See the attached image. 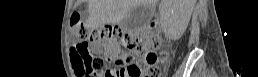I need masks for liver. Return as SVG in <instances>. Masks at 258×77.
<instances>
[{"mask_svg":"<svg viewBox=\"0 0 258 77\" xmlns=\"http://www.w3.org/2000/svg\"><path fill=\"white\" fill-rule=\"evenodd\" d=\"M158 0H89L88 24L97 28L103 24H117L126 18L132 8L138 6H154ZM196 0H162L161 6H171L178 9L183 6L180 13L181 23L187 25Z\"/></svg>","mask_w":258,"mask_h":77,"instance_id":"1","label":"liver"}]
</instances>
